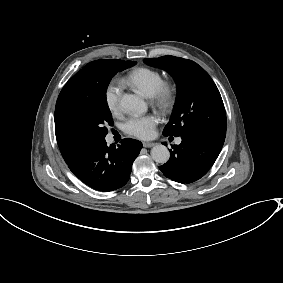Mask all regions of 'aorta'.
Masks as SVG:
<instances>
[{
    "label": "aorta",
    "mask_w": 283,
    "mask_h": 283,
    "mask_svg": "<svg viewBox=\"0 0 283 283\" xmlns=\"http://www.w3.org/2000/svg\"><path fill=\"white\" fill-rule=\"evenodd\" d=\"M120 104L126 110L136 114H143L147 110L145 101L134 94L123 95ZM151 157L155 162L164 164L169 160L170 153L166 146L159 144L151 149Z\"/></svg>",
    "instance_id": "obj_1"
}]
</instances>
